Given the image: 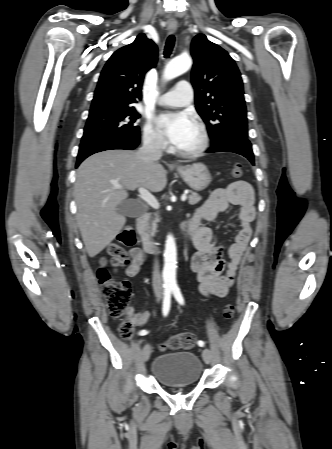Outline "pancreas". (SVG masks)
Listing matches in <instances>:
<instances>
[{
  "label": "pancreas",
  "mask_w": 332,
  "mask_h": 449,
  "mask_svg": "<svg viewBox=\"0 0 332 449\" xmlns=\"http://www.w3.org/2000/svg\"><path fill=\"white\" fill-rule=\"evenodd\" d=\"M201 200V197L196 192H191L189 195V204L195 205ZM160 221L159 215L155 214V218L153 220H150L148 222H145L141 229L146 231L150 236H154L157 232V223Z\"/></svg>",
  "instance_id": "cf45deb5"
}]
</instances>
